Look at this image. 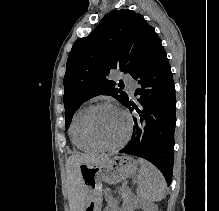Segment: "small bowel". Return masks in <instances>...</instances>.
Wrapping results in <instances>:
<instances>
[{
  "label": "small bowel",
  "instance_id": "small-bowel-1",
  "mask_svg": "<svg viewBox=\"0 0 219 211\" xmlns=\"http://www.w3.org/2000/svg\"><path fill=\"white\" fill-rule=\"evenodd\" d=\"M106 211H117V207L115 206V204L111 203Z\"/></svg>",
  "mask_w": 219,
  "mask_h": 211
}]
</instances>
